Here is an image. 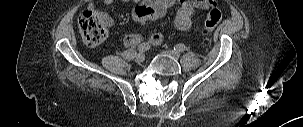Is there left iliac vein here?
<instances>
[{"instance_id": "obj_1", "label": "left iliac vein", "mask_w": 303, "mask_h": 127, "mask_svg": "<svg viewBox=\"0 0 303 127\" xmlns=\"http://www.w3.org/2000/svg\"><path fill=\"white\" fill-rule=\"evenodd\" d=\"M163 56L171 57L173 59H178L180 57V53L175 50H167L161 53Z\"/></svg>"}]
</instances>
